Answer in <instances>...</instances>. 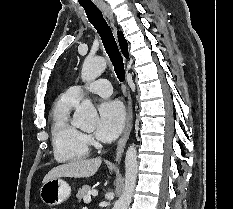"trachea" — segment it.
<instances>
[{
  "label": "trachea",
  "instance_id": "3493384b",
  "mask_svg": "<svg viewBox=\"0 0 233 209\" xmlns=\"http://www.w3.org/2000/svg\"><path fill=\"white\" fill-rule=\"evenodd\" d=\"M86 15L92 25L95 27L97 32L99 33L103 45L105 47L106 53L108 54L114 71L117 75V78L120 82L125 80V69L123 58L111 31V28L107 24L106 20L103 17L102 12L96 6H83Z\"/></svg>",
  "mask_w": 233,
  "mask_h": 209
}]
</instances>
